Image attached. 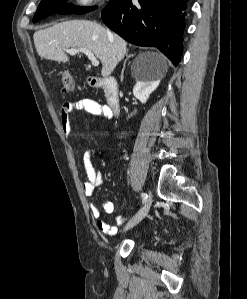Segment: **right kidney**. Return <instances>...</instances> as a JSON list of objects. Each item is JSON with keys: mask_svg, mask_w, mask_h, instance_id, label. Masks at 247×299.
<instances>
[{"mask_svg": "<svg viewBox=\"0 0 247 299\" xmlns=\"http://www.w3.org/2000/svg\"><path fill=\"white\" fill-rule=\"evenodd\" d=\"M159 83V80H137L133 88V94L141 103H146L150 94L156 90Z\"/></svg>", "mask_w": 247, "mask_h": 299, "instance_id": "right-kidney-1", "label": "right kidney"}]
</instances>
